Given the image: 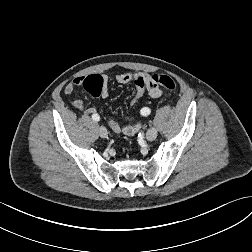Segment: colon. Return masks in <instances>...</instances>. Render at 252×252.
Listing matches in <instances>:
<instances>
[{
    "label": "colon",
    "instance_id": "5ec220e1",
    "mask_svg": "<svg viewBox=\"0 0 252 252\" xmlns=\"http://www.w3.org/2000/svg\"><path fill=\"white\" fill-rule=\"evenodd\" d=\"M152 80L168 90H173L175 88L174 80L165 74H155L152 76ZM136 92L132 99V103H136L145 94L146 85L143 79H138L136 81ZM83 88L92 96L99 97L102 95L103 91L107 89L106 79L98 74L89 75L85 77L83 83Z\"/></svg>",
    "mask_w": 252,
    "mask_h": 252
}]
</instances>
